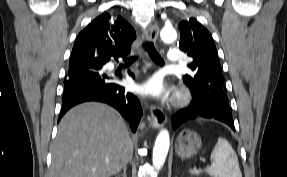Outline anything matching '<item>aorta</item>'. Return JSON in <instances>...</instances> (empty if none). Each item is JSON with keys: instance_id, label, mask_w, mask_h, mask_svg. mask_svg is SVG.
<instances>
[{"instance_id": "762f6f07", "label": "aorta", "mask_w": 287, "mask_h": 177, "mask_svg": "<svg viewBox=\"0 0 287 177\" xmlns=\"http://www.w3.org/2000/svg\"><path fill=\"white\" fill-rule=\"evenodd\" d=\"M160 37L164 42H173L177 38L176 31L171 27H165L160 32ZM170 146V135L167 129L159 132L153 147V165L160 170L165 163Z\"/></svg>"}]
</instances>
